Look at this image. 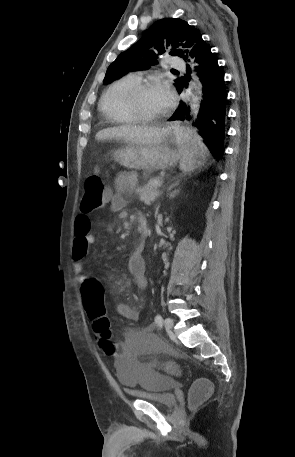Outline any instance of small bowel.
I'll return each mask as SVG.
<instances>
[{
  "label": "small bowel",
  "mask_w": 295,
  "mask_h": 457,
  "mask_svg": "<svg viewBox=\"0 0 295 457\" xmlns=\"http://www.w3.org/2000/svg\"><path fill=\"white\" fill-rule=\"evenodd\" d=\"M136 186L135 176L130 173H121L115 180V193L109 195V205L112 212H120L125 207L124 195L134 190ZM143 215H140L139 218ZM75 239L73 244V271L77 281L83 285L93 278H89L83 273V259L87 255L90 246L94 243V236L91 230V221L86 214H78L74 223ZM143 244L141 243L137 250L130 254L127 259V266L135 279L139 289L145 290L148 287V281L145 277V262L142 257ZM137 296L134 295V299ZM117 313L126 319L137 321L139 319L138 312L126 303H119L116 306ZM154 326L148 325L141 329L130 330L126 339L119 345L125 348L126 345H139L140 342H158L153 334Z\"/></svg>",
  "instance_id": "1"
}]
</instances>
